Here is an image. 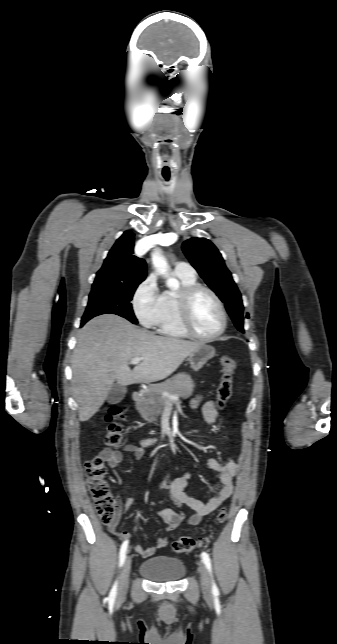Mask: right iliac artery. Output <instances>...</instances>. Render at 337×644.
Here are the masks:
<instances>
[{
    "label": "right iliac artery",
    "instance_id": "82829eb1",
    "mask_svg": "<svg viewBox=\"0 0 337 644\" xmlns=\"http://www.w3.org/2000/svg\"><path fill=\"white\" fill-rule=\"evenodd\" d=\"M127 547H128V540L124 541L123 544L121 545L120 548V553H119V565L120 567L123 565L125 558H126V553H127ZM116 593H117V582H115L113 588L111 589V592L109 594V599L111 601H114L116 598Z\"/></svg>",
    "mask_w": 337,
    "mask_h": 644
}]
</instances>
